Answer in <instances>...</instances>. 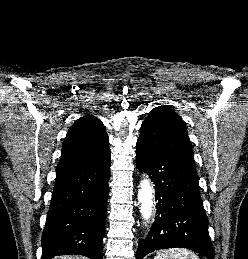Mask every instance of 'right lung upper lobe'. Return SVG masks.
Listing matches in <instances>:
<instances>
[{
    "label": "right lung upper lobe",
    "instance_id": "obj_1",
    "mask_svg": "<svg viewBox=\"0 0 248 259\" xmlns=\"http://www.w3.org/2000/svg\"><path fill=\"white\" fill-rule=\"evenodd\" d=\"M108 145L102 122L94 116H84L69 129L57 168L96 160L110 151Z\"/></svg>",
    "mask_w": 248,
    "mask_h": 259
}]
</instances>
